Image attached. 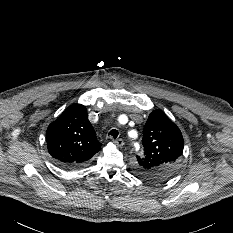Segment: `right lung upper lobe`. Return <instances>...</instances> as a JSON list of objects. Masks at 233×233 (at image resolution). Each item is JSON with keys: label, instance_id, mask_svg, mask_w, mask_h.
Segmentation results:
<instances>
[{"label": "right lung upper lobe", "instance_id": "cb5924a9", "mask_svg": "<svg viewBox=\"0 0 233 233\" xmlns=\"http://www.w3.org/2000/svg\"><path fill=\"white\" fill-rule=\"evenodd\" d=\"M46 141L50 155L66 168L84 166L101 147L81 104L71 105L49 125Z\"/></svg>", "mask_w": 233, "mask_h": 233}]
</instances>
